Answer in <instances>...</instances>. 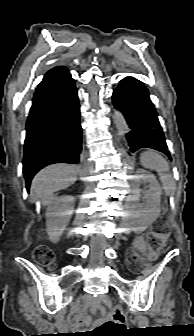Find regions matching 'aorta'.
I'll return each instance as SVG.
<instances>
[{"label":"aorta","instance_id":"obj_1","mask_svg":"<svg viewBox=\"0 0 194 336\" xmlns=\"http://www.w3.org/2000/svg\"><path fill=\"white\" fill-rule=\"evenodd\" d=\"M113 120L117 128L118 134L124 137L129 131L125 117L119 110H114Z\"/></svg>","mask_w":194,"mask_h":336}]
</instances>
